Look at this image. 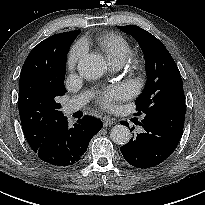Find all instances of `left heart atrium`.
Returning a JSON list of instances; mask_svg holds the SVG:
<instances>
[{"mask_svg":"<svg viewBox=\"0 0 205 205\" xmlns=\"http://www.w3.org/2000/svg\"><path fill=\"white\" fill-rule=\"evenodd\" d=\"M131 93V87L128 84L113 85L106 88L98 96V102L107 106L116 101L127 98Z\"/></svg>","mask_w":205,"mask_h":205,"instance_id":"obj_1","label":"left heart atrium"}]
</instances>
